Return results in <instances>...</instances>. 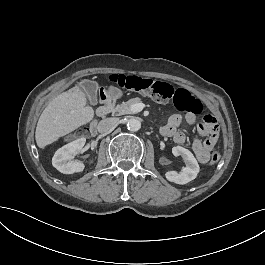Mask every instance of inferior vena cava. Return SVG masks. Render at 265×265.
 <instances>
[{
	"label": "inferior vena cava",
	"instance_id": "inferior-vena-cava-1",
	"mask_svg": "<svg viewBox=\"0 0 265 265\" xmlns=\"http://www.w3.org/2000/svg\"><path fill=\"white\" fill-rule=\"evenodd\" d=\"M118 122L117 118H105L98 123L97 130L99 133H105L113 129Z\"/></svg>",
	"mask_w": 265,
	"mask_h": 265
}]
</instances>
